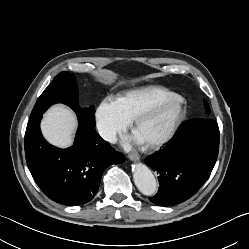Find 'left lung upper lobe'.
Returning <instances> with one entry per match:
<instances>
[{
	"label": "left lung upper lobe",
	"instance_id": "1",
	"mask_svg": "<svg viewBox=\"0 0 249 249\" xmlns=\"http://www.w3.org/2000/svg\"><path fill=\"white\" fill-rule=\"evenodd\" d=\"M204 105H205V108H206V113L207 114H210V108H209V105L206 101H204Z\"/></svg>",
	"mask_w": 249,
	"mask_h": 249
}]
</instances>
